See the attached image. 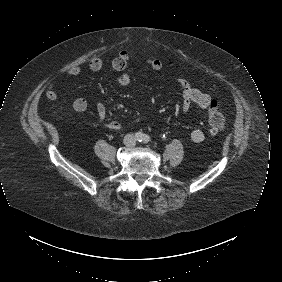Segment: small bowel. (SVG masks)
I'll return each instance as SVG.
<instances>
[{
	"label": "small bowel",
	"mask_w": 282,
	"mask_h": 282,
	"mask_svg": "<svg viewBox=\"0 0 282 282\" xmlns=\"http://www.w3.org/2000/svg\"><path fill=\"white\" fill-rule=\"evenodd\" d=\"M130 60V54L128 51H121L118 56L113 60L112 67L117 71H124ZM148 66L154 71H160L163 67L162 62L157 58H150L147 61ZM103 67V61L100 58H93L89 63V69L93 72L101 70ZM82 72L80 66L70 68L66 74L68 76H77ZM131 82V76L128 73H122L117 79L119 86H127ZM179 85L183 95V101L181 109L183 112H187L192 105H196L201 109H206L210 106L211 98L208 94L196 89L186 79H179ZM46 96L49 100H55L57 98L56 83L51 82L47 86ZM93 104L96 110V121L104 124V126L111 130H121L122 124L117 121H107L108 110L106 105L99 99L93 100ZM70 106L78 112L85 111L89 106V101L84 98H77L70 102ZM142 116H138L134 119V122H140ZM190 138L195 143H203L206 139L205 133L200 129H194L190 133Z\"/></svg>",
	"instance_id": "c3829d8e"
}]
</instances>
